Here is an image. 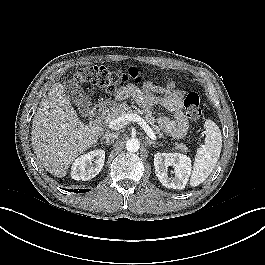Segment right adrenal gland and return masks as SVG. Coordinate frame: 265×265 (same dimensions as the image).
Wrapping results in <instances>:
<instances>
[{
    "label": "right adrenal gland",
    "instance_id": "right-adrenal-gland-1",
    "mask_svg": "<svg viewBox=\"0 0 265 265\" xmlns=\"http://www.w3.org/2000/svg\"><path fill=\"white\" fill-rule=\"evenodd\" d=\"M106 143H110V141H106Z\"/></svg>",
    "mask_w": 265,
    "mask_h": 265
}]
</instances>
